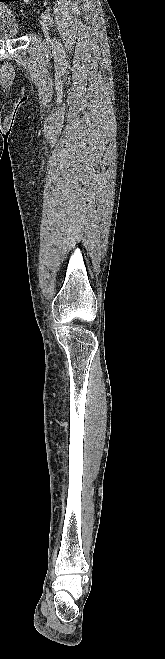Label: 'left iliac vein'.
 I'll return each instance as SVG.
<instances>
[{
	"instance_id": "4c4485c4",
	"label": "left iliac vein",
	"mask_w": 165,
	"mask_h": 659,
	"mask_svg": "<svg viewBox=\"0 0 165 659\" xmlns=\"http://www.w3.org/2000/svg\"><path fill=\"white\" fill-rule=\"evenodd\" d=\"M41 27H42V31L45 35L47 43H51L52 39L50 37L49 24H48L47 20L44 19L43 17L41 19Z\"/></svg>"
}]
</instances>
